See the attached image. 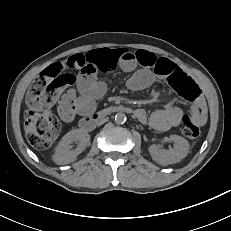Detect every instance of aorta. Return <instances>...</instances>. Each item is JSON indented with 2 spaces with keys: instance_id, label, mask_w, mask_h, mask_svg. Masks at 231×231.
<instances>
[{
  "instance_id": "762f6f07",
  "label": "aorta",
  "mask_w": 231,
  "mask_h": 231,
  "mask_svg": "<svg viewBox=\"0 0 231 231\" xmlns=\"http://www.w3.org/2000/svg\"><path fill=\"white\" fill-rule=\"evenodd\" d=\"M126 121V115L122 112H119L115 115V122L117 124H123Z\"/></svg>"
}]
</instances>
